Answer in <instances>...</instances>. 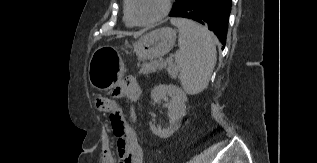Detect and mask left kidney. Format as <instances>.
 Instances as JSON below:
<instances>
[{
    "mask_svg": "<svg viewBox=\"0 0 317 163\" xmlns=\"http://www.w3.org/2000/svg\"><path fill=\"white\" fill-rule=\"evenodd\" d=\"M170 97V101H168ZM151 99L153 104L161 102V100L167 101L166 107L170 109V121L168 128H157L152 122H150V129L153 134L160 138L170 137L180 127V121L186 113V93L175 85H158L151 91Z\"/></svg>",
    "mask_w": 317,
    "mask_h": 163,
    "instance_id": "5707ae66",
    "label": "left kidney"
}]
</instances>
